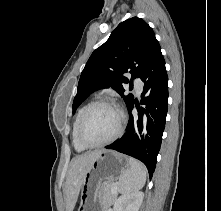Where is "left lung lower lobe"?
<instances>
[{"label":"left lung lower lobe","mask_w":221,"mask_h":211,"mask_svg":"<svg viewBox=\"0 0 221 211\" xmlns=\"http://www.w3.org/2000/svg\"><path fill=\"white\" fill-rule=\"evenodd\" d=\"M144 82L141 104H136L138 115L131 114L135 101L127 107L129 122L125 135L106 146L142 161L152 178L160 150L168 106V76L165 60L158 51L141 77Z\"/></svg>","instance_id":"1"}]
</instances>
